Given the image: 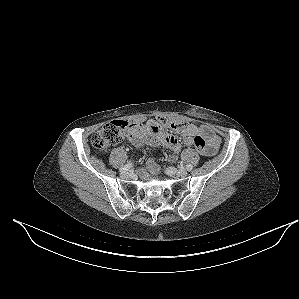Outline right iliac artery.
I'll use <instances>...</instances> for the list:
<instances>
[{"mask_svg":"<svg viewBox=\"0 0 299 299\" xmlns=\"http://www.w3.org/2000/svg\"><path fill=\"white\" fill-rule=\"evenodd\" d=\"M132 167V163H127L126 165H124V166H122L120 169H119V171L120 172H126V171H128L130 168Z\"/></svg>","mask_w":299,"mask_h":299,"instance_id":"obj_1","label":"right iliac artery"}]
</instances>
